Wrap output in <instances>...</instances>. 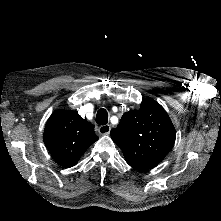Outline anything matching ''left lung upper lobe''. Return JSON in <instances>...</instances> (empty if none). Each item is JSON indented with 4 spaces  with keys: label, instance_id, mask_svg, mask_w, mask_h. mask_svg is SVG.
Returning <instances> with one entry per match:
<instances>
[{
    "label": "left lung upper lobe",
    "instance_id": "left-lung-upper-lobe-1",
    "mask_svg": "<svg viewBox=\"0 0 221 221\" xmlns=\"http://www.w3.org/2000/svg\"><path fill=\"white\" fill-rule=\"evenodd\" d=\"M111 138L121 148L126 162L138 170L157 166L171 149L175 128L164 108L152 98L139 110L123 114Z\"/></svg>",
    "mask_w": 221,
    "mask_h": 221
}]
</instances>
